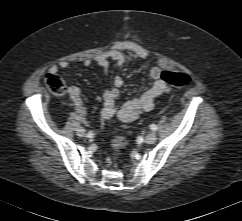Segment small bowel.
Returning a JSON list of instances; mask_svg holds the SVG:
<instances>
[{"label": "small bowel", "instance_id": "small-bowel-1", "mask_svg": "<svg viewBox=\"0 0 242 221\" xmlns=\"http://www.w3.org/2000/svg\"><path fill=\"white\" fill-rule=\"evenodd\" d=\"M131 53L134 56L145 60L142 67L148 70L149 77L152 80L151 86L136 98L124 102L122 105L117 106L116 99L119 97L120 88L123 86V79L120 76H115L113 79V86L106 89L103 93V108L101 116L104 120H109L113 117L121 121H134L140 115L153 109L155 99L170 91V87L161 79V69L158 67H151L147 58L149 57L148 51L136 42L123 41L118 43L114 48L106 53L98 55L95 58L96 63L108 74L111 62H114L117 68H121L125 63V53ZM92 63L91 59L82 61L83 67H89ZM70 67L69 62L60 61L57 65L50 68V72L56 73L59 69L66 70ZM70 97L74 103L75 109L80 118L87 122V112L83 105L81 90L78 86H71L69 88Z\"/></svg>", "mask_w": 242, "mask_h": 221}]
</instances>
